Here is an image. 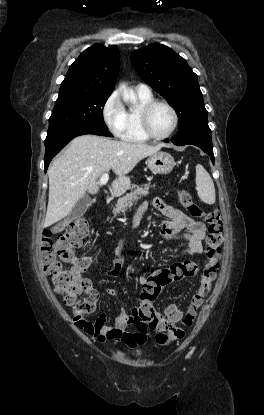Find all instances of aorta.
Masks as SVG:
<instances>
[{"label": "aorta", "instance_id": "1", "mask_svg": "<svg viewBox=\"0 0 264 415\" xmlns=\"http://www.w3.org/2000/svg\"><path fill=\"white\" fill-rule=\"evenodd\" d=\"M119 90L122 93L124 101L136 102V97L133 92L129 91L124 83L120 84Z\"/></svg>", "mask_w": 264, "mask_h": 415}]
</instances>
